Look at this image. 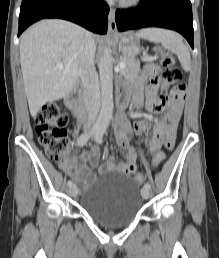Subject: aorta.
<instances>
[{
	"label": "aorta",
	"mask_w": 219,
	"mask_h": 258,
	"mask_svg": "<svg viewBox=\"0 0 219 258\" xmlns=\"http://www.w3.org/2000/svg\"><path fill=\"white\" fill-rule=\"evenodd\" d=\"M101 84V110L95 128L105 131L113 116V57L111 50L105 48L99 62Z\"/></svg>",
	"instance_id": "obj_1"
}]
</instances>
